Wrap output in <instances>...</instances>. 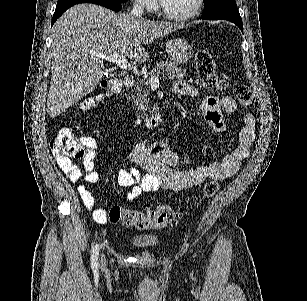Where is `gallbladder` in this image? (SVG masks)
<instances>
[{"instance_id": "1", "label": "gallbladder", "mask_w": 307, "mask_h": 301, "mask_svg": "<svg viewBox=\"0 0 307 301\" xmlns=\"http://www.w3.org/2000/svg\"><path fill=\"white\" fill-rule=\"evenodd\" d=\"M104 76H106V78H109V76H112V72H108V70H105Z\"/></svg>"}]
</instances>
